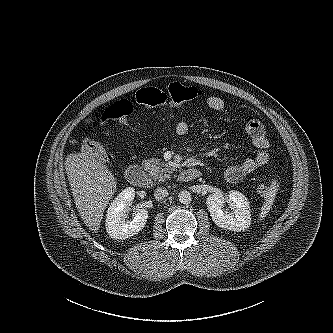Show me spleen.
Returning <instances> with one entry per match:
<instances>
[{
  "mask_svg": "<svg viewBox=\"0 0 333 333\" xmlns=\"http://www.w3.org/2000/svg\"><path fill=\"white\" fill-rule=\"evenodd\" d=\"M274 185H271L270 188H268L263 194H264V198H265V202L261 208V213H260V219H263L267 216V213L270 211V209L272 208L274 199H275V195H276V187H275V183H273Z\"/></svg>",
  "mask_w": 333,
  "mask_h": 333,
  "instance_id": "spleen-1",
  "label": "spleen"
}]
</instances>
